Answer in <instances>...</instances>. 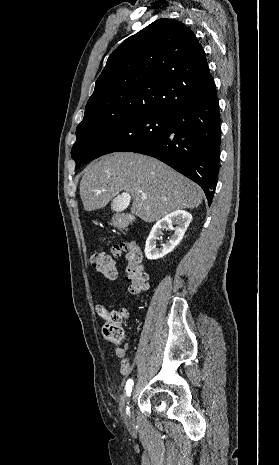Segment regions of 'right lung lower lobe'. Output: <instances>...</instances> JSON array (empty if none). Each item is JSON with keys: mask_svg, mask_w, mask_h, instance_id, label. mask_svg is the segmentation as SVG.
I'll list each match as a JSON object with an SVG mask.
<instances>
[{"mask_svg": "<svg viewBox=\"0 0 279 465\" xmlns=\"http://www.w3.org/2000/svg\"><path fill=\"white\" fill-rule=\"evenodd\" d=\"M167 129L145 146L130 151L166 163L201 186L212 202L220 162L221 127L215 83L202 98L168 113Z\"/></svg>", "mask_w": 279, "mask_h": 465, "instance_id": "right-lung-lower-lobe-1", "label": "right lung lower lobe"}]
</instances>
